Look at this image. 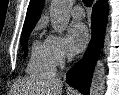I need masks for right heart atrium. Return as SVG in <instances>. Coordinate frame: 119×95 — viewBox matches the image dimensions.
<instances>
[{
	"label": "right heart atrium",
	"instance_id": "1",
	"mask_svg": "<svg viewBox=\"0 0 119 95\" xmlns=\"http://www.w3.org/2000/svg\"><path fill=\"white\" fill-rule=\"evenodd\" d=\"M46 42L51 51L52 59L55 66H63L68 60L72 58L66 40L57 35H49Z\"/></svg>",
	"mask_w": 119,
	"mask_h": 95
}]
</instances>
